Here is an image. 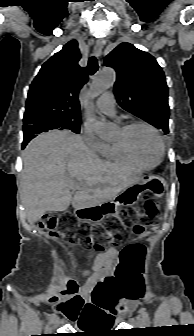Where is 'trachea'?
I'll return each mask as SVG.
<instances>
[{
    "mask_svg": "<svg viewBox=\"0 0 194 336\" xmlns=\"http://www.w3.org/2000/svg\"><path fill=\"white\" fill-rule=\"evenodd\" d=\"M87 68L90 75H93L98 70V62L96 57L92 56L89 58Z\"/></svg>",
    "mask_w": 194,
    "mask_h": 336,
    "instance_id": "trachea-1",
    "label": "trachea"
}]
</instances>
